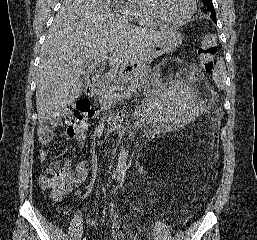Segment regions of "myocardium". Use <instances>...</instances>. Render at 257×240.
<instances>
[{
    "instance_id": "1",
    "label": "myocardium",
    "mask_w": 257,
    "mask_h": 240,
    "mask_svg": "<svg viewBox=\"0 0 257 240\" xmlns=\"http://www.w3.org/2000/svg\"><path fill=\"white\" fill-rule=\"evenodd\" d=\"M148 9L152 17L157 20L162 25L178 27L186 24L194 15L196 11V0H189V10L188 12L178 20H170L165 18L157 8V0H147Z\"/></svg>"
}]
</instances>
